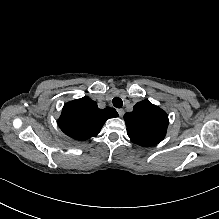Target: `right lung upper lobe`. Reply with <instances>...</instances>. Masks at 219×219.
Returning <instances> with one entry per match:
<instances>
[{
	"label": "right lung upper lobe",
	"instance_id": "cb5924a9",
	"mask_svg": "<svg viewBox=\"0 0 219 219\" xmlns=\"http://www.w3.org/2000/svg\"><path fill=\"white\" fill-rule=\"evenodd\" d=\"M117 116L114 108L99 109L95 101L85 96L64 105L58 125L69 137L83 141L96 136L107 119Z\"/></svg>",
	"mask_w": 219,
	"mask_h": 219
}]
</instances>
